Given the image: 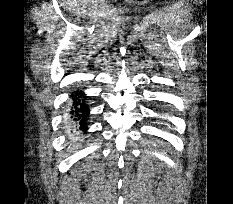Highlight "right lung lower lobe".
<instances>
[{
    "instance_id": "98d812e1",
    "label": "right lung lower lobe",
    "mask_w": 233,
    "mask_h": 204,
    "mask_svg": "<svg viewBox=\"0 0 233 204\" xmlns=\"http://www.w3.org/2000/svg\"><path fill=\"white\" fill-rule=\"evenodd\" d=\"M84 93L76 91L72 94V108L70 111V118L79 126V129L84 132L87 130V117L89 115V108L83 101Z\"/></svg>"
}]
</instances>
